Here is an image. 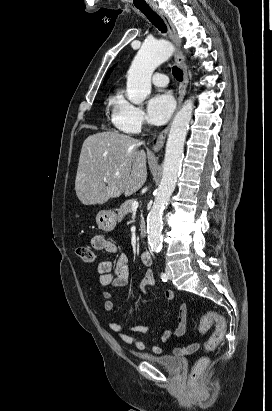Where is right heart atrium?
<instances>
[{
  "label": "right heart atrium",
  "mask_w": 272,
  "mask_h": 411,
  "mask_svg": "<svg viewBox=\"0 0 272 411\" xmlns=\"http://www.w3.org/2000/svg\"><path fill=\"white\" fill-rule=\"evenodd\" d=\"M111 120L116 128L130 134L139 133L147 123L144 111L122 94L112 104Z\"/></svg>",
  "instance_id": "obj_1"
}]
</instances>
